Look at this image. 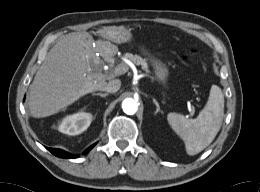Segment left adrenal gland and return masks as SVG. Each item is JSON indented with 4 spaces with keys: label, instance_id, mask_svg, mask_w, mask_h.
<instances>
[{
    "label": "left adrenal gland",
    "instance_id": "a2214340",
    "mask_svg": "<svg viewBox=\"0 0 260 192\" xmlns=\"http://www.w3.org/2000/svg\"><path fill=\"white\" fill-rule=\"evenodd\" d=\"M153 102H154L155 105H156L155 114H157L158 112H161V113H162V111L160 110V106H159L158 102H157L155 99H153Z\"/></svg>",
    "mask_w": 260,
    "mask_h": 192
}]
</instances>
